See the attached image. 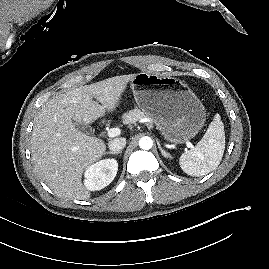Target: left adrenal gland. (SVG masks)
I'll list each match as a JSON object with an SVG mask.
<instances>
[{
  "mask_svg": "<svg viewBox=\"0 0 269 269\" xmlns=\"http://www.w3.org/2000/svg\"><path fill=\"white\" fill-rule=\"evenodd\" d=\"M157 144H158V148H159L160 152L162 153V155L164 157L171 158V155L168 152H166L165 150L162 149V147H161V145H160V143L158 141H157Z\"/></svg>",
  "mask_w": 269,
  "mask_h": 269,
  "instance_id": "1",
  "label": "left adrenal gland"
}]
</instances>
